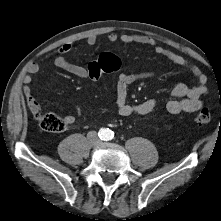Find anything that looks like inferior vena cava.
Returning a JSON list of instances; mask_svg holds the SVG:
<instances>
[{"label": "inferior vena cava", "mask_w": 221, "mask_h": 221, "mask_svg": "<svg viewBox=\"0 0 221 221\" xmlns=\"http://www.w3.org/2000/svg\"><path fill=\"white\" fill-rule=\"evenodd\" d=\"M88 137L93 144H97L99 142V138L94 132L89 133Z\"/></svg>", "instance_id": "602c4592"}]
</instances>
